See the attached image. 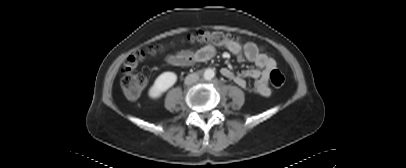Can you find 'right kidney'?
I'll return each instance as SVG.
<instances>
[{
    "instance_id": "right-kidney-1",
    "label": "right kidney",
    "mask_w": 406,
    "mask_h": 168,
    "mask_svg": "<svg viewBox=\"0 0 406 168\" xmlns=\"http://www.w3.org/2000/svg\"><path fill=\"white\" fill-rule=\"evenodd\" d=\"M177 81V75L174 72H164L160 74L153 86L149 89V96L152 99L159 98L164 92L172 87Z\"/></svg>"
}]
</instances>
